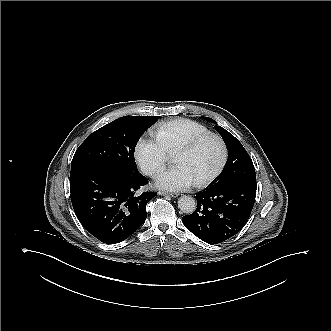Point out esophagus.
I'll use <instances>...</instances> for the list:
<instances>
[{
  "mask_svg": "<svg viewBox=\"0 0 331 331\" xmlns=\"http://www.w3.org/2000/svg\"><path fill=\"white\" fill-rule=\"evenodd\" d=\"M160 194L161 195H168V196L174 197V198L179 196V193H177V192H161Z\"/></svg>",
  "mask_w": 331,
  "mask_h": 331,
  "instance_id": "34e87169",
  "label": "esophagus"
}]
</instances>
